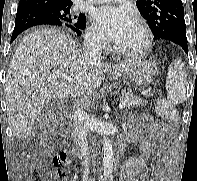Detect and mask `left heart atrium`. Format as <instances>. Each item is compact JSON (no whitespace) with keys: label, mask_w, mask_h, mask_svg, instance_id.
<instances>
[{"label":"left heart atrium","mask_w":197,"mask_h":181,"mask_svg":"<svg viewBox=\"0 0 197 181\" xmlns=\"http://www.w3.org/2000/svg\"><path fill=\"white\" fill-rule=\"evenodd\" d=\"M96 26L117 42L133 24L132 16L125 7L102 6L93 13Z\"/></svg>","instance_id":"39dd6f15"}]
</instances>
